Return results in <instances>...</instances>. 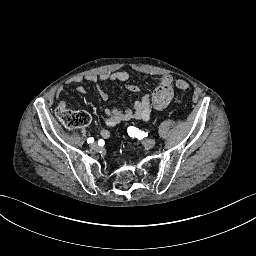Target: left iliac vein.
<instances>
[{
  "mask_svg": "<svg viewBox=\"0 0 256 256\" xmlns=\"http://www.w3.org/2000/svg\"><path fill=\"white\" fill-rule=\"evenodd\" d=\"M142 144L147 148H152L155 146L156 140L155 139L144 140L142 141Z\"/></svg>",
  "mask_w": 256,
  "mask_h": 256,
  "instance_id": "4c4485c4",
  "label": "left iliac vein"
}]
</instances>
